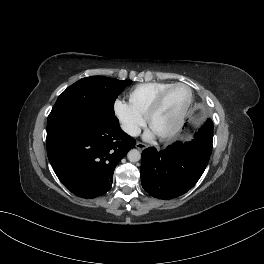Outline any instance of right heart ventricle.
<instances>
[{"label": "right heart ventricle", "instance_id": "1", "mask_svg": "<svg viewBox=\"0 0 264 264\" xmlns=\"http://www.w3.org/2000/svg\"><path fill=\"white\" fill-rule=\"evenodd\" d=\"M170 83L150 82L132 88L128 93V104L141 116H144L156 95Z\"/></svg>", "mask_w": 264, "mask_h": 264}]
</instances>
